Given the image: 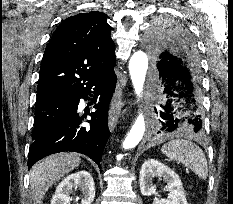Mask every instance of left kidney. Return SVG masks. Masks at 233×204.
Returning a JSON list of instances; mask_svg holds the SVG:
<instances>
[{
	"label": "left kidney",
	"mask_w": 233,
	"mask_h": 204,
	"mask_svg": "<svg viewBox=\"0 0 233 204\" xmlns=\"http://www.w3.org/2000/svg\"><path fill=\"white\" fill-rule=\"evenodd\" d=\"M154 178L165 181L170 194L167 199L155 197L153 204H188L179 176L172 169L155 159L146 161L141 167L139 184L142 195L150 196L155 193Z\"/></svg>",
	"instance_id": "5707ae66"
}]
</instances>
